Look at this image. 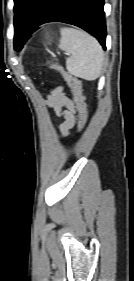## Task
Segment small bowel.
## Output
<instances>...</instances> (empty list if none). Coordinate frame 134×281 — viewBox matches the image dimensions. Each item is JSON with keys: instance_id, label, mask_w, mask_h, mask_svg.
Returning <instances> with one entry per match:
<instances>
[{"instance_id": "c3829d8e", "label": "small bowel", "mask_w": 134, "mask_h": 281, "mask_svg": "<svg viewBox=\"0 0 134 281\" xmlns=\"http://www.w3.org/2000/svg\"><path fill=\"white\" fill-rule=\"evenodd\" d=\"M46 102L54 115L63 119L59 124V131L61 136H66L75 122V109L72 100L59 87L47 96Z\"/></svg>"}]
</instances>
